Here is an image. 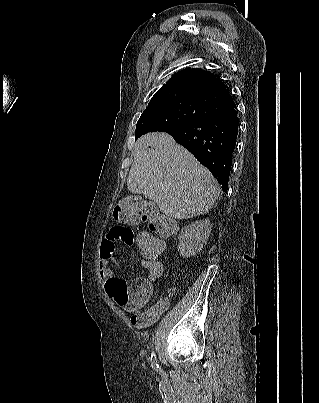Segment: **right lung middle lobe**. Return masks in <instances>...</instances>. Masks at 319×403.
<instances>
[{
  "instance_id": "right-lung-middle-lobe-1",
  "label": "right lung middle lobe",
  "mask_w": 319,
  "mask_h": 403,
  "mask_svg": "<svg viewBox=\"0 0 319 403\" xmlns=\"http://www.w3.org/2000/svg\"><path fill=\"white\" fill-rule=\"evenodd\" d=\"M210 113L206 107L188 102L149 105L138 120L135 138L169 126L185 125Z\"/></svg>"
}]
</instances>
